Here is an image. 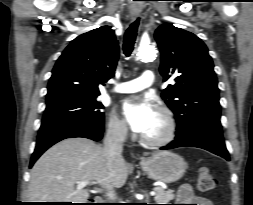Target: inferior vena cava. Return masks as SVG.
Segmentation results:
<instances>
[{
	"label": "inferior vena cava",
	"instance_id": "inferior-vena-cava-1",
	"mask_svg": "<svg viewBox=\"0 0 253 205\" xmlns=\"http://www.w3.org/2000/svg\"><path fill=\"white\" fill-rule=\"evenodd\" d=\"M127 127L125 124H115L108 128L104 138V153L111 163L116 157H120L123 151V142L126 139ZM110 199L114 197V191L110 189L107 193Z\"/></svg>",
	"mask_w": 253,
	"mask_h": 205
}]
</instances>
